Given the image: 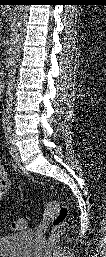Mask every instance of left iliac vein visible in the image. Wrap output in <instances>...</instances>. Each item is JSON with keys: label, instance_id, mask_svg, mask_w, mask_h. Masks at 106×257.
<instances>
[{"label": "left iliac vein", "instance_id": "left-iliac-vein-1", "mask_svg": "<svg viewBox=\"0 0 106 257\" xmlns=\"http://www.w3.org/2000/svg\"><path fill=\"white\" fill-rule=\"evenodd\" d=\"M10 152L13 156L17 155V152H18V149H17V146L15 145L14 139H11Z\"/></svg>", "mask_w": 106, "mask_h": 257}]
</instances>
